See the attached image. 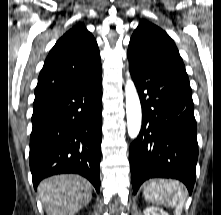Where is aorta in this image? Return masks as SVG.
I'll use <instances>...</instances> for the list:
<instances>
[{
    "label": "aorta",
    "instance_id": "762f6f07",
    "mask_svg": "<svg viewBox=\"0 0 221 215\" xmlns=\"http://www.w3.org/2000/svg\"><path fill=\"white\" fill-rule=\"evenodd\" d=\"M127 75L128 78L125 85L127 130L129 137L134 139L141 129L142 111L135 85L129 73Z\"/></svg>",
    "mask_w": 221,
    "mask_h": 215
}]
</instances>
